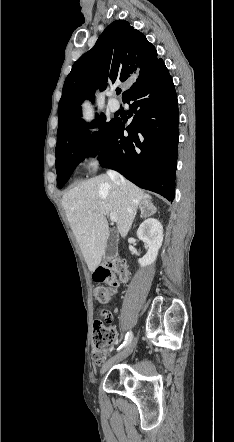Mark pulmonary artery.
<instances>
[{
  "label": "pulmonary artery",
  "mask_w": 234,
  "mask_h": 442,
  "mask_svg": "<svg viewBox=\"0 0 234 442\" xmlns=\"http://www.w3.org/2000/svg\"><path fill=\"white\" fill-rule=\"evenodd\" d=\"M113 92L110 93V98L108 100V108L112 112H116L119 110L120 105L119 102L113 97Z\"/></svg>",
  "instance_id": "1"
}]
</instances>
